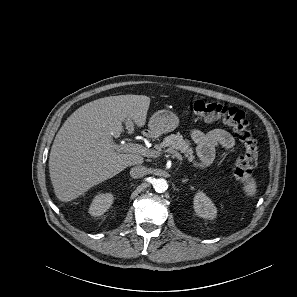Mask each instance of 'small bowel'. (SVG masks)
Segmentation results:
<instances>
[{
	"mask_svg": "<svg viewBox=\"0 0 297 297\" xmlns=\"http://www.w3.org/2000/svg\"><path fill=\"white\" fill-rule=\"evenodd\" d=\"M190 137L197 145L198 160L201 165H209L215 158V147L222 146L231 149L234 145L232 135L221 128H215L208 132L192 129Z\"/></svg>",
	"mask_w": 297,
	"mask_h": 297,
	"instance_id": "1",
	"label": "small bowel"
}]
</instances>
